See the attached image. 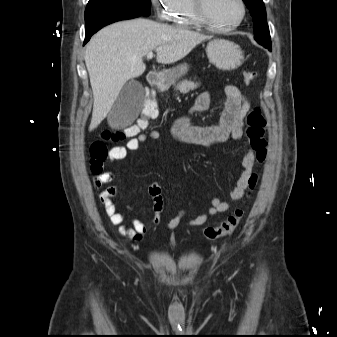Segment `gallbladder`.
Wrapping results in <instances>:
<instances>
[{
    "mask_svg": "<svg viewBox=\"0 0 337 337\" xmlns=\"http://www.w3.org/2000/svg\"><path fill=\"white\" fill-rule=\"evenodd\" d=\"M144 104V90L135 80L127 82L120 91L111 111L108 122L113 128L130 125L140 113Z\"/></svg>",
    "mask_w": 337,
    "mask_h": 337,
    "instance_id": "bac80fb5",
    "label": "gallbladder"
}]
</instances>
